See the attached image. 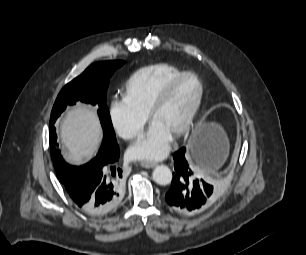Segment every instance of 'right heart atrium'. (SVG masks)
<instances>
[{"label": "right heart atrium", "mask_w": 306, "mask_h": 255, "mask_svg": "<svg viewBox=\"0 0 306 255\" xmlns=\"http://www.w3.org/2000/svg\"><path fill=\"white\" fill-rule=\"evenodd\" d=\"M108 114L112 128L124 140L131 141L141 135L146 116L136 111L125 99H114Z\"/></svg>", "instance_id": "right-heart-atrium-1"}]
</instances>
